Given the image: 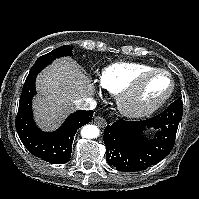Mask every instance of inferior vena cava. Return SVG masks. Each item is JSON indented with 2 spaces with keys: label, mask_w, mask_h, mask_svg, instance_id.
<instances>
[{
  "label": "inferior vena cava",
  "mask_w": 199,
  "mask_h": 199,
  "mask_svg": "<svg viewBox=\"0 0 199 199\" xmlns=\"http://www.w3.org/2000/svg\"><path fill=\"white\" fill-rule=\"evenodd\" d=\"M76 108L79 110H94L97 102L93 98H84L75 102Z\"/></svg>",
  "instance_id": "inferior-vena-cava-1"
}]
</instances>
